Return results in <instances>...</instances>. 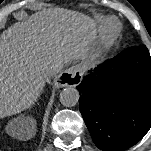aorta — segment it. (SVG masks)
Instances as JSON below:
<instances>
[{
	"label": "aorta",
	"mask_w": 151,
	"mask_h": 151,
	"mask_svg": "<svg viewBox=\"0 0 151 151\" xmlns=\"http://www.w3.org/2000/svg\"><path fill=\"white\" fill-rule=\"evenodd\" d=\"M79 92L75 88H64L59 95L60 102L65 107H73L79 101Z\"/></svg>",
	"instance_id": "aorta-1"
}]
</instances>
